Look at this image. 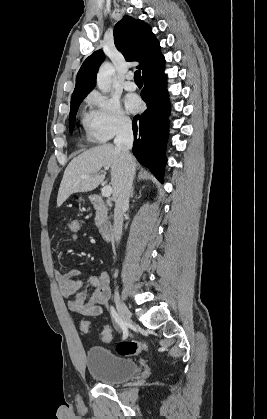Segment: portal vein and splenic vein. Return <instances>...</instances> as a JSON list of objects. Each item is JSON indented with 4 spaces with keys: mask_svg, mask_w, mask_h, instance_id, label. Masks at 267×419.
<instances>
[{
    "mask_svg": "<svg viewBox=\"0 0 267 419\" xmlns=\"http://www.w3.org/2000/svg\"><path fill=\"white\" fill-rule=\"evenodd\" d=\"M106 169H108V168H106ZM87 177H89V176L83 175V178H87ZM101 193H102L103 197H106V198L110 197L111 194H112V187L110 185L104 186L101 190Z\"/></svg>",
    "mask_w": 267,
    "mask_h": 419,
    "instance_id": "18ae733b",
    "label": "portal vein and splenic vein"
}]
</instances>
